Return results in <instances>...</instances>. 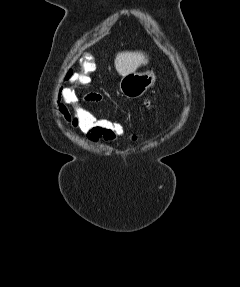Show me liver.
<instances>
[{
	"label": "liver",
	"mask_w": 240,
	"mask_h": 287,
	"mask_svg": "<svg viewBox=\"0 0 240 287\" xmlns=\"http://www.w3.org/2000/svg\"><path fill=\"white\" fill-rule=\"evenodd\" d=\"M149 62L147 55L141 51H124L119 52L114 60V65L117 72L125 76L135 72L142 65L145 66Z\"/></svg>",
	"instance_id": "1"
}]
</instances>
